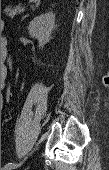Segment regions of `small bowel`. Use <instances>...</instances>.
<instances>
[{
	"instance_id": "c3829d8e",
	"label": "small bowel",
	"mask_w": 109,
	"mask_h": 170,
	"mask_svg": "<svg viewBox=\"0 0 109 170\" xmlns=\"http://www.w3.org/2000/svg\"><path fill=\"white\" fill-rule=\"evenodd\" d=\"M1 44H2L3 46H5V45H6V40H5V39H1Z\"/></svg>"
}]
</instances>
